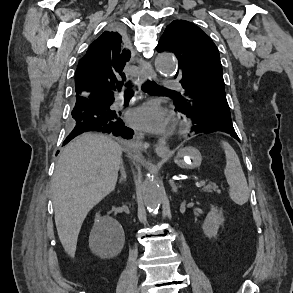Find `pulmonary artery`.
I'll use <instances>...</instances> for the list:
<instances>
[{
  "instance_id": "1",
  "label": "pulmonary artery",
  "mask_w": 293,
  "mask_h": 293,
  "mask_svg": "<svg viewBox=\"0 0 293 293\" xmlns=\"http://www.w3.org/2000/svg\"><path fill=\"white\" fill-rule=\"evenodd\" d=\"M163 84L169 90H179L181 88L180 84L173 82V81H170V80H165L163 82ZM118 103H120V99H119Z\"/></svg>"
}]
</instances>
